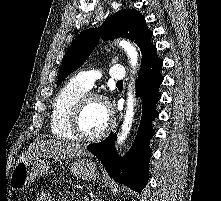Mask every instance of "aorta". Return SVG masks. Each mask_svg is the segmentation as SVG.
<instances>
[{
	"label": "aorta",
	"mask_w": 221,
	"mask_h": 201,
	"mask_svg": "<svg viewBox=\"0 0 221 201\" xmlns=\"http://www.w3.org/2000/svg\"><path fill=\"white\" fill-rule=\"evenodd\" d=\"M119 46H121L125 50V52L127 53L130 59L131 67L135 69L138 64V53L136 49L133 47L131 43L125 40L119 41ZM133 84L134 82H131L129 85L128 94H127L128 96L126 103V112L123 123L121 125L120 133L118 135L117 144H122L126 140L132 127L133 117H134V101H135V95L132 90Z\"/></svg>",
	"instance_id": "1"
}]
</instances>
